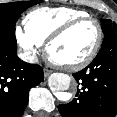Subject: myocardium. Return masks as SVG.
Wrapping results in <instances>:
<instances>
[{"label":"myocardium","mask_w":117,"mask_h":117,"mask_svg":"<svg viewBox=\"0 0 117 117\" xmlns=\"http://www.w3.org/2000/svg\"><path fill=\"white\" fill-rule=\"evenodd\" d=\"M91 21L96 25L97 28V39L95 42V45L91 52L82 60L74 63H59L55 60H53L50 56V48L51 46L57 42L58 40L65 37L73 28H75L77 25L86 22ZM103 28L101 23L92 16H84L79 17L76 19H73L66 24H64L62 27H60L58 30H56L54 33H52L49 38L45 42V54L48 62L53 65L54 67L64 70V71H78L80 69H83L84 67L88 66L90 63L93 62V60L98 55L100 48L102 46L103 42Z\"/></svg>","instance_id":"obj_1"}]
</instances>
